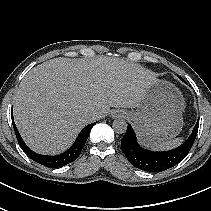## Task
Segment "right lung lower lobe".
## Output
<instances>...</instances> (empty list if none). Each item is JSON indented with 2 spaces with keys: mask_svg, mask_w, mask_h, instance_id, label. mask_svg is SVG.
<instances>
[{
  "mask_svg": "<svg viewBox=\"0 0 211 211\" xmlns=\"http://www.w3.org/2000/svg\"><path fill=\"white\" fill-rule=\"evenodd\" d=\"M12 123H13V127L15 130V134L18 140L19 145L21 146V148L24 150V152L27 154V156L29 158H31L32 160H34L35 162L44 165L46 167L49 168H59V167H63L73 161H75L85 143L86 140L90 134L91 128L95 123L89 124L87 125L85 128L82 129V131L79 133L76 141L74 142V144L68 149L66 150L64 153L60 154V155H55V156H48V155H41L38 153H35L34 151H32L23 141V139L21 138L14 120H13V116H12Z\"/></svg>",
  "mask_w": 211,
  "mask_h": 211,
  "instance_id": "98d812e1",
  "label": "right lung lower lobe"
}]
</instances>
